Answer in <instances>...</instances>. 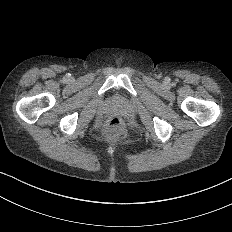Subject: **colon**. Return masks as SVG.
<instances>
[{"label":"colon","instance_id":"obj_1","mask_svg":"<svg viewBox=\"0 0 232 232\" xmlns=\"http://www.w3.org/2000/svg\"><path fill=\"white\" fill-rule=\"evenodd\" d=\"M126 130V125L119 119H114L107 123L101 131V136L106 141L118 139Z\"/></svg>","mask_w":232,"mask_h":232}]
</instances>
